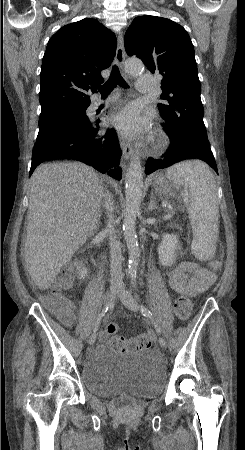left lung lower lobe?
<instances>
[{
	"instance_id": "1",
	"label": "left lung lower lobe",
	"mask_w": 245,
	"mask_h": 450,
	"mask_svg": "<svg viewBox=\"0 0 245 450\" xmlns=\"http://www.w3.org/2000/svg\"><path fill=\"white\" fill-rule=\"evenodd\" d=\"M171 138V137H170ZM201 159L207 162L217 173V166L209 143L198 141H175L171 138L169 150L160 159L148 158L145 173L150 174L185 159Z\"/></svg>"
}]
</instances>
